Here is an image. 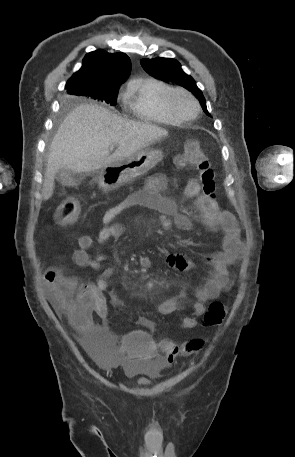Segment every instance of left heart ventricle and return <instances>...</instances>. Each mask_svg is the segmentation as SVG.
<instances>
[{
	"mask_svg": "<svg viewBox=\"0 0 295 457\" xmlns=\"http://www.w3.org/2000/svg\"><path fill=\"white\" fill-rule=\"evenodd\" d=\"M175 107L177 111L184 116H191L195 111L193 102L183 95H179L175 98Z\"/></svg>",
	"mask_w": 295,
	"mask_h": 457,
	"instance_id": "b2bd125f",
	"label": "left heart ventricle"
}]
</instances>
